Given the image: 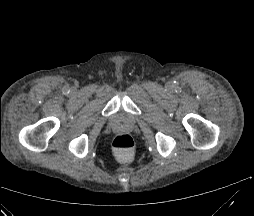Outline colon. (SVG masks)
Here are the masks:
<instances>
[{"mask_svg":"<svg viewBox=\"0 0 254 216\" xmlns=\"http://www.w3.org/2000/svg\"><path fill=\"white\" fill-rule=\"evenodd\" d=\"M115 153L122 159H128L133 154L134 142L130 135L122 133L113 142Z\"/></svg>","mask_w":254,"mask_h":216,"instance_id":"5ec220e1","label":"colon"}]
</instances>
